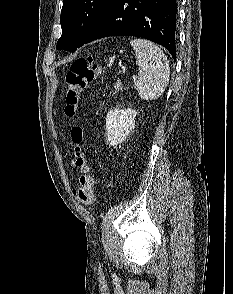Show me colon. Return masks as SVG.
Here are the masks:
<instances>
[{"label":"colon","mask_w":233,"mask_h":294,"mask_svg":"<svg viewBox=\"0 0 233 294\" xmlns=\"http://www.w3.org/2000/svg\"><path fill=\"white\" fill-rule=\"evenodd\" d=\"M99 73L98 65L91 56L81 57L73 61L66 73L67 85L65 94L64 113L68 118L75 115L79 100L88 84L95 79ZM84 138L83 128L77 124L70 131L73 159L72 168L78 171V186L73 195L82 204L90 205L94 202L95 179L90 174V169L85 160L82 142Z\"/></svg>","instance_id":"colon-1"}]
</instances>
